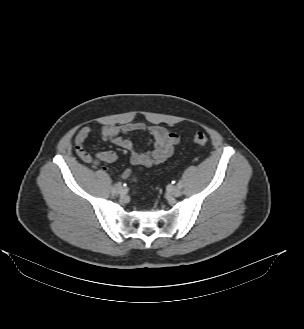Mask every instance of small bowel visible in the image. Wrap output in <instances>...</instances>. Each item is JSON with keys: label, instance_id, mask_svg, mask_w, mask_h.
<instances>
[{"label": "small bowel", "instance_id": "c3829d8e", "mask_svg": "<svg viewBox=\"0 0 304 329\" xmlns=\"http://www.w3.org/2000/svg\"><path fill=\"white\" fill-rule=\"evenodd\" d=\"M91 132V128L85 126L75 137L74 146L80 158L94 166H98L102 162L112 163L116 161L117 154L113 151H100L94 156L86 151L85 143ZM132 132L148 133L154 142V149L150 152L138 151L133 141L128 137ZM99 136L129 152L131 164L138 167H151L164 162L174 153L175 147L179 144V137L176 133L165 127L148 125L144 122L103 126L99 131ZM131 173V169H126L121 173V177L128 178Z\"/></svg>", "mask_w": 304, "mask_h": 329}]
</instances>
